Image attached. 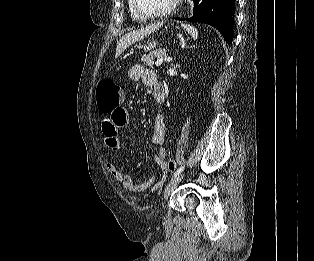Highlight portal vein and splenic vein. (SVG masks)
<instances>
[{"label":"portal vein and splenic vein","instance_id":"1","mask_svg":"<svg viewBox=\"0 0 314 261\" xmlns=\"http://www.w3.org/2000/svg\"><path fill=\"white\" fill-rule=\"evenodd\" d=\"M166 57H159L155 63L156 66H160L164 61H166Z\"/></svg>","mask_w":314,"mask_h":261}]
</instances>
